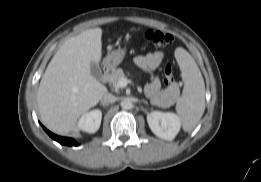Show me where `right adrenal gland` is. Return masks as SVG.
I'll use <instances>...</instances> for the list:
<instances>
[{
	"mask_svg": "<svg viewBox=\"0 0 261 182\" xmlns=\"http://www.w3.org/2000/svg\"><path fill=\"white\" fill-rule=\"evenodd\" d=\"M100 105L103 106V107L107 106L106 104H104V103H102V102L100 103Z\"/></svg>",
	"mask_w": 261,
	"mask_h": 182,
	"instance_id": "obj_1",
	"label": "right adrenal gland"
}]
</instances>
